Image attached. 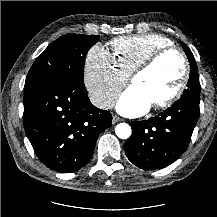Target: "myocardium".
Listing matches in <instances>:
<instances>
[{
	"label": "myocardium",
	"mask_w": 217,
	"mask_h": 217,
	"mask_svg": "<svg viewBox=\"0 0 217 217\" xmlns=\"http://www.w3.org/2000/svg\"><path fill=\"white\" fill-rule=\"evenodd\" d=\"M169 54H175L177 55L181 62L183 67L182 76L180 79V82L176 88V90L169 95L168 97L154 103L152 106L156 109H162L166 108L170 105H172L174 102H176L185 92L189 78H190V64L187 59V56L185 53L176 47L169 46L162 49L157 50L154 52L149 58H147L144 62H142L140 65H138L131 73L130 75V83L133 84L135 78L139 76L140 74L148 71L150 68H152L160 59L163 57L169 55Z\"/></svg>",
	"instance_id": "1"
}]
</instances>
